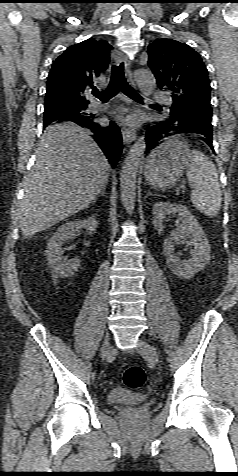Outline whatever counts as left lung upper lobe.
Here are the masks:
<instances>
[{"label": "left lung upper lobe", "instance_id": "obj_1", "mask_svg": "<svg viewBox=\"0 0 238 476\" xmlns=\"http://www.w3.org/2000/svg\"><path fill=\"white\" fill-rule=\"evenodd\" d=\"M148 65L160 89L172 93L171 110L212 113L211 87L200 55L178 41L162 38L148 46Z\"/></svg>", "mask_w": 238, "mask_h": 476}]
</instances>
